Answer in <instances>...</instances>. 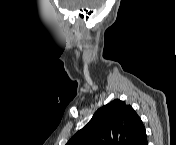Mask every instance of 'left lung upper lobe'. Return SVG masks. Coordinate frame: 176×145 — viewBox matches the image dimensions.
Wrapping results in <instances>:
<instances>
[{
  "instance_id": "1",
  "label": "left lung upper lobe",
  "mask_w": 176,
  "mask_h": 145,
  "mask_svg": "<svg viewBox=\"0 0 176 145\" xmlns=\"http://www.w3.org/2000/svg\"><path fill=\"white\" fill-rule=\"evenodd\" d=\"M144 133L143 122L134 109L115 99L98 109L66 145H137Z\"/></svg>"
}]
</instances>
